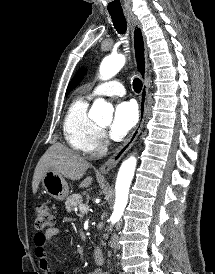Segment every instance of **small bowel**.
Instances as JSON below:
<instances>
[{
    "instance_id": "1",
    "label": "small bowel",
    "mask_w": 215,
    "mask_h": 274,
    "mask_svg": "<svg viewBox=\"0 0 215 274\" xmlns=\"http://www.w3.org/2000/svg\"><path fill=\"white\" fill-rule=\"evenodd\" d=\"M62 234L60 228H49L45 232H38L34 236L35 255L38 258L40 268L46 274L51 272V266L49 262L48 253L46 250L47 245L50 243L53 237H59ZM56 274H65L64 272H56ZM89 274H105L100 270H95Z\"/></svg>"
}]
</instances>
